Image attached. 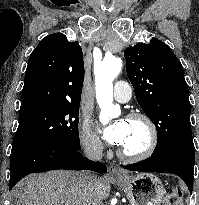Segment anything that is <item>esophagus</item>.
Instances as JSON below:
<instances>
[{
  "label": "esophagus",
  "instance_id": "1",
  "mask_svg": "<svg viewBox=\"0 0 199 205\" xmlns=\"http://www.w3.org/2000/svg\"><path fill=\"white\" fill-rule=\"evenodd\" d=\"M109 174L113 177H118L122 175V172L115 165L111 164L109 166Z\"/></svg>",
  "mask_w": 199,
  "mask_h": 205
}]
</instances>
